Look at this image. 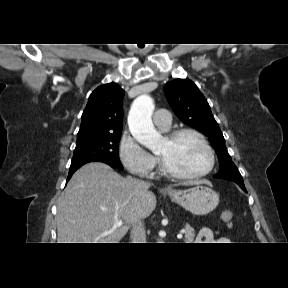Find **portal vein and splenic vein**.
I'll return each instance as SVG.
<instances>
[{
  "label": "portal vein and splenic vein",
  "instance_id": "18ae733b",
  "mask_svg": "<svg viewBox=\"0 0 288 288\" xmlns=\"http://www.w3.org/2000/svg\"><path fill=\"white\" fill-rule=\"evenodd\" d=\"M114 225H115L116 227H120V226L123 225V222H122L121 220H116L115 223H114ZM177 238H178V239H181V238H182V233H179V234L177 235Z\"/></svg>",
  "mask_w": 288,
  "mask_h": 288
}]
</instances>
